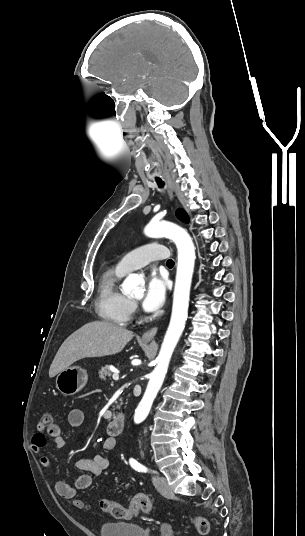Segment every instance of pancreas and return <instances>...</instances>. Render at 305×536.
Listing matches in <instances>:
<instances>
[{"label":"pancreas","mask_w":305,"mask_h":536,"mask_svg":"<svg viewBox=\"0 0 305 536\" xmlns=\"http://www.w3.org/2000/svg\"><path fill=\"white\" fill-rule=\"evenodd\" d=\"M110 376H112L110 366H108V364L107 366H102L98 372V378H100V380H107Z\"/></svg>","instance_id":"cf45deb5"}]
</instances>
